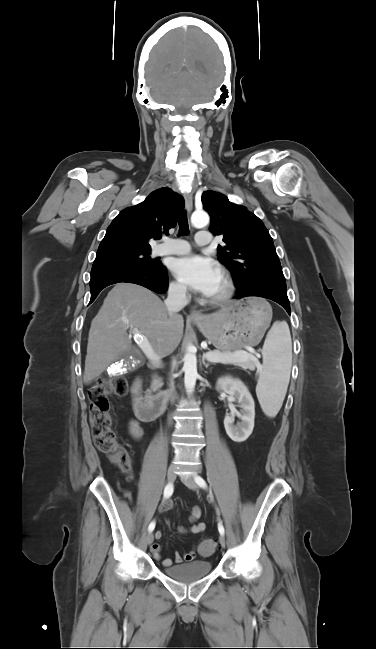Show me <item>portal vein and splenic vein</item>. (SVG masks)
<instances>
[{
	"label": "portal vein and splenic vein",
	"mask_w": 376,
	"mask_h": 649,
	"mask_svg": "<svg viewBox=\"0 0 376 649\" xmlns=\"http://www.w3.org/2000/svg\"><path fill=\"white\" fill-rule=\"evenodd\" d=\"M133 337L136 343L141 347L145 355L155 364H160V359L154 353L150 343L146 336L139 334L133 330ZM206 359L209 362L214 363H226V362H237V361H246L254 360L257 361V358L247 352H234V353H206Z\"/></svg>",
	"instance_id": "18ae733b"
}]
</instances>
